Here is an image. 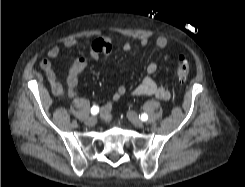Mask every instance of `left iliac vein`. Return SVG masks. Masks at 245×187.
<instances>
[{
  "instance_id": "1",
  "label": "left iliac vein",
  "mask_w": 245,
  "mask_h": 187,
  "mask_svg": "<svg viewBox=\"0 0 245 187\" xmlns=\"http://www.w3.org/2000/svg\"><path fill=\"white\" fill-rule=\"evenodd\" d=\"M127 117L135 127L142 128L144 126L143 122L139 119L136 112L128 111Z\"/></svg>"
}]
</instances>
